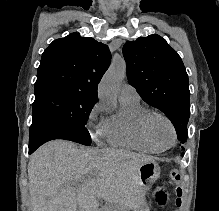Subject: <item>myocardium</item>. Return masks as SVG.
<instances>
[{
    "label": "myocardium",
    "mask_w": 219,
    "mask_h": 211,
    "mask_svg": "<svg viewBox=\"0 0 219 211\" xmlns=\"http://www.w3.org/2000/svg\"><path fill=\"white\" fill-rule=\"evenodd\" d=\"M159 119L167 122L172 130V133H173V142H172V144H170L167 147H162L158 143V141L156 140V138L154 136L153 124L156 120H159ZM141 129H142L144 136L159 149H164V150L169 149V148L173 147L177 142V132H176V128L174 126V123L172 122V120L168 116H166L163 113L156 112V111L146 112L141 119Z\"/></svg>",
    "instance_id": "1"
}]
</instances>
